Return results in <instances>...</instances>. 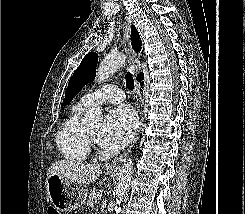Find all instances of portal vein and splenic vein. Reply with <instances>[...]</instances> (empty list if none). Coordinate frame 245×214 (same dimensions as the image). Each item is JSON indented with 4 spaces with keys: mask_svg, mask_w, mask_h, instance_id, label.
<instances>
[{
    "mask_svg": "<svg viewBox=\"0 0 245 214\" xmlns=\"http://www.w3.org/2000/svg\"><path fill=\"white\" fill-rule=\"evenodd\" d=\"M97 197L100 199V198L102 197V194L99 193V194L97 195Z\"/></svg>",
    "mask_w": 245,
    "mask_h": 214,
    "instance_id": "portal-vein-and-splenic-vein-1",
    "label": "portal vein and splenic vein"
}]
</instances>
